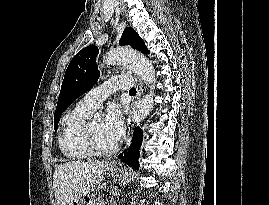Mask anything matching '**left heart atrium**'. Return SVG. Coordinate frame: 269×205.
I'll return each mask as SVG.
<instances>
[{
    "instance_id": "obj_1",
    "label": "left heart atrium",
    "mask_w": 269,
    "mask_h": 205,
    "mask_svg": "<svg viewBox=\"0 0 269 205\" xmlns=\"http://www.w3.org/2000/svg\"><path fill=\"white\" fill-rule=\"evenodd\" d=\"M102 131L105 137L116 144L124 133V121L121 107L117 103H110L102 122Z\"/></svg>"
}]
</instances>
